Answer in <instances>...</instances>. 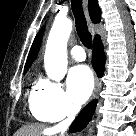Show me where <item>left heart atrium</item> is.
Segmentation results:
<instances>
[{
    "label": "left heart atrium",
    "mask_w": 136,
    "mask_h": 136,
    "mask_svg": "<svg viewBox=\"0 0 136 136\" xmlns=\"http://www.w3.org/2000/svg\"><path fill=\"white\" fill-rule=\"evenodd\" d=\"M68 92L75 103L85 102L94 87L93 74L89 67L79 65L72 68L67 79Z\"/></svg>",
    "instance_id": "obj_1"
}]
</instances>
